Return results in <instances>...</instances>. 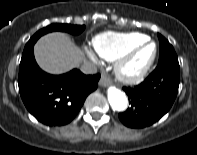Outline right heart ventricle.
Segmentation results:
<instances>
[{"label": "right heart ventricle", "instance_id": "1", "mask_svg": "<svg viewBox=\"0 0 197 155\" xmlns=\"http://www.w3.org/2000/svg\"><path fill=\"white\" fill-rule=\"evenodd\" d=\"M148 37L142 33H116L106 32L93 39L95 52L107 61H115L128 49L146 40Z\"/></svg>", "mask_w": 197, "mask_h": 155}]
</instances>
